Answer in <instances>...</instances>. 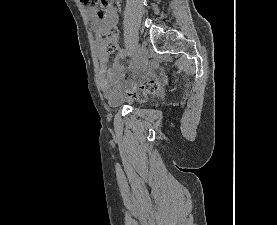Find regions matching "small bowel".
<instances>
[{
  "instance_id": "obj_1",
  "label": "small bowel",
  "mask_w": 277,
  "mask_h": 225,
  "mask_svg": "<svg viewBox=\"0 0 277 225\" xmlns=\"http://www.w3.org/2000/svg\"><path fill=\"white\" fill-rule=\"evenodd\" d=\"M89 16L92 18L94 29L96 31V47L98 52V78L102 91L105 95L111 96L112 94H119L124 86L132 85L133 79L141 77L143 80H155L153 77V71L147 70L146 66H138L135 63H131L125 68L120 64L121 59L127 57L125 50H120L117 56V60L108 67V53L103 46V36L108 34L115 39L118 38V34L114 31V27L118 23V15L112 9H108L106 17H95L93 12H89ZM129 73L132 79H129Z\"/></svg>"
}]
</instances>
